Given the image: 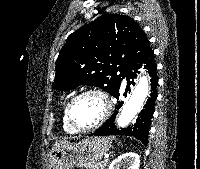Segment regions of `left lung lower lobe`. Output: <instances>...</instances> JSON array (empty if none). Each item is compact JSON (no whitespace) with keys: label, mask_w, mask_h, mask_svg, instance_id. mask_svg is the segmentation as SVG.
Here are the masks:
<instances>
[{"label":"left lung lower lobe","mask_w":200,"mask_h":169,"mask_svg":"<svg viewBox=\"0 0 200 169\" xmlns=\"http://www.w3.org/2000/svg\"><path fill=\"white\" fill-rule=\"evenodd\" d=\"M142 64H145V69H148V73L151 77V94L148 98L146 104L144 105V109L140 112L135 124L133 126H129L127 128H123L121 130L116 129L114 125L115 116L117 112H115L100 128H98L92 135H127L134 136L139 139L144 145L148 142V134L151 125V118L154 112V103L157 97V66L154 60V51L151 47L147 50V52L135 63L133 64L126 72L125 77L127 78V87L126 90L129 89L130 84L134 85V81H130V79L136 78V73H139L138 69L142 67ZM120 88V87H119ZM118 90L114 93V97L118 100L120 97ZM122 103V102H121ZM121 106L117 105V108Z\"/></svg>","instance_id":"0a47b994"}]
</instances>
